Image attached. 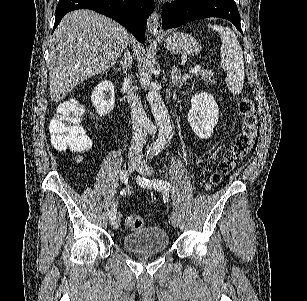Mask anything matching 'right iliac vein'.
<instances>
[{"instance_id":"1","label":"right iliac vein","mask_w":307,"mask_h":301,"mask_svg":"<svg viewBox=\"0 0 307 301\" xmlns=\"http://www.w3.org/2000/svg\"><path fill=\"white\" fill-rule=\"evenodd\" d=\"M136 166H137L136 158H134L133 156H130L129 160H128V164H127L129 175L132 174V172L135 170ZM119 226H120V214H117V216L115 217V220L113 222V228L118 229Z\"/></svg>"}]
</instances>
